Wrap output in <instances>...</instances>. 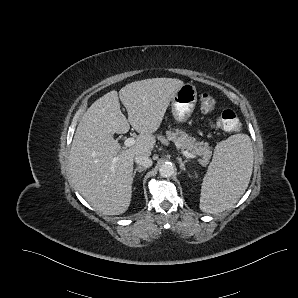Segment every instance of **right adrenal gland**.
Listing matches in <instances>:
<instances>
[{
  "label": "right adrenal gland",
  "mask_w": 298,
  "mask_h": 298,
  "mask_svg": "<svg viewBox=\"0 0 298 298\" xmlns=\"http://www.w3.org/2000/svg\"><path fill=\"white\" fill-rule=\"evenodd\" d=\"M146 169H147V167H142L141 165H137V166L135 167V169L133 170L131 179L133 180V178H134V176H135L137 170H140L141 172H143V171L146 170Z\"/></svg>",
  "instance_id": "right-adrenal-gland-1"
}]
</instances>
